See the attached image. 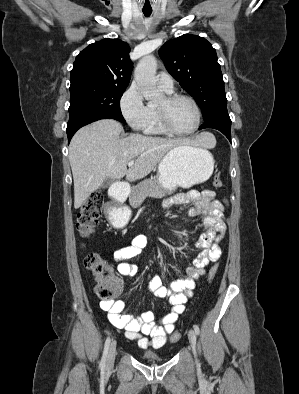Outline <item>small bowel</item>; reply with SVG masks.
I'll return each instance as SVG.
<instances>
[{
  "label": "small bowel",
  "mask_w": 299,
  "mask_h": 394,
  "mask_svg": "<svg viewBox=\"0 0 299 394\" xmlns=\"http://www.w3.org/2000/svg\"><path fill=\"white\" fill-rule=\"evenodd\" d=\"M194 206L188 210L191 217H202L203 233L195 243L201 252L186 269V276L164 284L160 276H154L149 282V289L157 298L166 299L171 307L170 311L158 322L153 312H145L134 317L125 312V304L121 300L102 301L100 307L107 313L111 324L116 328L125 330L126 337L136 340L138 345L146 349L161 348L167 342L168 336L174 331L179 316L184 312L185 303L192 295L197 280L204 276L205 267L216 263L221 256L219 242L225 235L224 207L210 190L189 191L175 195L164 202V206L189 205ZM148 238L143 234L133 237L131 242L115 250L113 257L117 271L122 276H133L136 267L128 261L136 258L147 246ZM146 336H150L148 339Z\"/></svg>",
  "instance_id": "c3829d8e"
}]
</instances>
